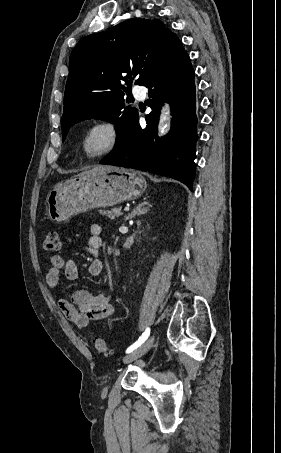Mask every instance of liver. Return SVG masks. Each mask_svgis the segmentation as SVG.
Instances as JSON below:
<instances>
[{
  "label": "liver",
  "instance_id": "obj_1",
  "mask_svg": "<svg viewBox=\"0 0 281 453\" xmlns=\"http://www.w3.org/2000/svg\"><path fill=\"white\" fill-rule=\"evenodd\" d=\"M113 166H105V164H100V166H94L92 170H84V172H79V174H75V176H88V174H93V172H101V170H111Z\"/></svg>",
  "mask_w": 281,
  "mask_h": 453
}]
</instances>
